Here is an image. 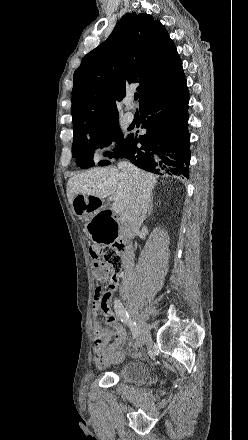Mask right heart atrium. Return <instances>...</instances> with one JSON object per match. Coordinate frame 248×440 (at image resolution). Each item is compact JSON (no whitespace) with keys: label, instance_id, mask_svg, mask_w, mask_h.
I'll use <instances>...</instances> for the list:
<instances>
[{"label":"right heart atrium","instance_id":"right-heart-atrium-1","mask_svg":"<svg viewBox=\"0 0 248 440\" xmlns=\"http://www.w3.org/2000/svg\"><path fill=\"white\" fill-rule=\"evenodd\" d=\"M115 147V137L110 133L109 128H104L103 136L94 150L95 160L99 161L111 158L114 154Z\"/></svg>","mask_w":248,"mask_h":440}]
</instances>
